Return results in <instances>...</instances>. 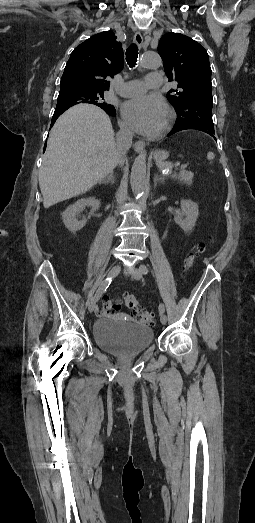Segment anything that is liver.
Returning a JSON list of instances; mask_svg holds the SVG:
<instances>
[{"mask_svg": "<svg viewBox=\"0 0 255 523\" xmlns=\"http://www.w3.org/2000/svg\"><path fill=\"white\" fill-rule=\"evenodd\" d=\"M111 120L101 108L77 104L55 122L39 172L44 208L85 194L118 164Z\"/></svg>", "mask_w": 255, "mask_h": 523, "instance_id": "liver-1", "label": "liver"}]
</instances>
